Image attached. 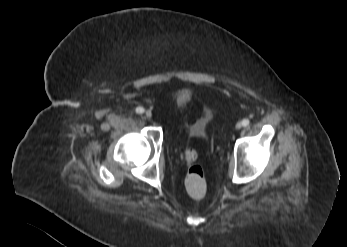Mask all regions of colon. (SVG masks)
Listing matches in <instances>:
<instances>
[{"instance_id":"colon-1","label":"colon","mask_w":347,"mask_h":247,"mask_svg":"<svg viewBox=\"0 0 347 247\" xmlns=\"http://www.w3.org/2000/svg\"><path fill=\"white\" fill-rule=\"evenodd\" d=\"M189 169L185 178V188L188 195L193 199H201L206 194V181L204 170L198 163V155L193 148H188L185 153Z\"/></svg>"}]
</instances>
